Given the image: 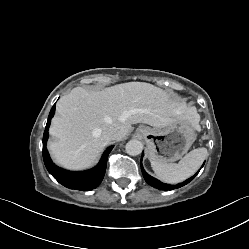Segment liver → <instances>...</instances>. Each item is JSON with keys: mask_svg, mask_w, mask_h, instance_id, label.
<instances>
[{"mask_svg": "<svg viewBox=\"0 0 249 249\" xmlns=\"http://www.w3.org/2000/svg\"><path fill=\"white\" fill-rule=\"evenodd\" d=\"M195 113V107H187L145 82L118 84L101 91L75 87L56 104L50 126L54 140L48 149L58 165L82 170L91 166L110 142L104 137L106 129L117 130L116 140L120 141L132 131V124L166 128L191 114L197 128L200 117Z\"/></svg>", "mask_w": 249, "mask_h": 249, "instance_id": "liver-1", "label": "liver"}]
</instances>
